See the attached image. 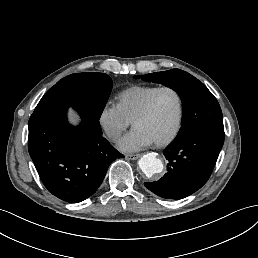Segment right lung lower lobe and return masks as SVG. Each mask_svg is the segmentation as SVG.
I'll use <instances>...</instances> for the list:
<instances>
[{"label": "right lung lower lobe", "instance_id": "right-lung-lower-lobe-1", "mask_svg": "<svg viewBox=\"0 0 258 258\" xmlns=\"http://www.w3.org/2000/svg\"><path fill=\"white\" fill-rule=\"evenodd\" d=\"M90 88L73 83L51 87L31 115L28 150L41 181L61 200L78 203L102 183L109 165L123 157L102 137L99 119L90 112ZM82 119L71 126L68 108Z\"/></svg>", "mask_w": 258, "mask_h": 258}]
</instances>
